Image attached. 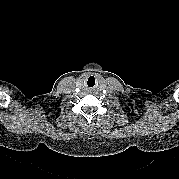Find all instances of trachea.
Listing matches in <instances>:
<instances>
[{
  "label": "trachea",
  "mask_w": 179,
  "mask_h": 179,
  "mask_svg": "<svg viewBox=\"0 0 179 179\" xmlns=\"http://www.w3.org/2000/svg\"><path fill=\"white\" fill-rule=\"evenodd\" d=\"M95 81H96L95 78L91 76V77L88 78L86 84H87L88 87L92 88L96 84Z\"/></svg>",
  "instance_id": "trachea-1"
}]
</instances>
